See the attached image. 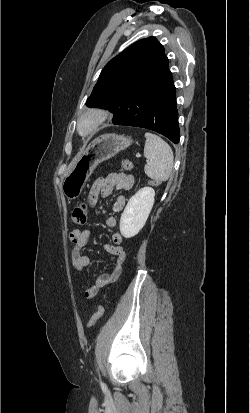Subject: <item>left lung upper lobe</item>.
<instances>
[{
  "label": "left lung upper lobe",
  "mask_w": 250,
  "mask_h": 413,
  "mask_svg": "<svg viewBox=\"0 0 250 413\" xmlns=\"http://www.w3.org/2000/svg\"><path fill=\"white\" fill-rule=\"evenodd\" d=\"M168 70V59L157 39L139 40L106 64L86 105L116 114L139 85L155 82L168 74Z\"/></svg>",
  "instance_id": "obj_1"
}]
</instances>
